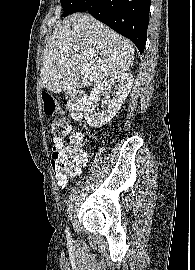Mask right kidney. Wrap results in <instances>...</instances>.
<instances>
[{
    "instance_id": "obj_1",
    "label": "right kidney",
    "mask_w": 195,
    "mask_h": 270,
    "mask_svg": "<svg viewBox=\"0 0 195 270\" xmlns=\"http://www.w3.org/2000/svg\"><path fill=\"white\" fill-rule=\"evenodd\" d=\"M133 76L130 73H123L118 77L110 78L96 84L90 93L84 110L85 120L91 127H101L111 121L116 115L131 91ZM114 88L115 96L110 99L109 91ZM102 95L106 99L102 100V111L97 108Z\"/></svg>"
}]
</instances>
